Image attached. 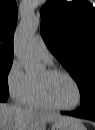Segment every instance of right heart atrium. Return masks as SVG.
<instances>
[{
  "instance_id": "1",
  "label": "right heart atrium",
  "mask_w": 95,
  "mask_h": 130,
  "mask_svg": "<svg viewBox=\"0 0 95 130\" xmlns=\"http://www.w3.org/2000/svg\"><path fill=\"white\" fill-rule=\"evenodd\" d=\"M7 89L11 97L19 103H27L34 82L26 75L22 66L14 62L7 74Z\"/></svg>"
}]
</instances>
